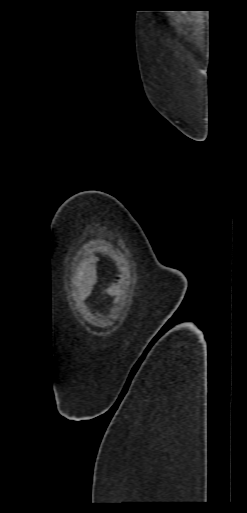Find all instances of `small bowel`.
<instances>
[{"mask_svg": "<svg viewBox=\"0 0 247 513\" xmlns=\"http://www.w3.org/2000/svg\"><path fill=\"white\" fill-rule=\"evenodd\" d=\"M96 272L91 264L81 261L74 267L73 287L75 296L84 300L92 293L95 284Z\"/></svg>", "mask_w": 247, "mask_h": 513, "instance_id": "small-bowel-1", "label": "small bowel"}]
</instances>
